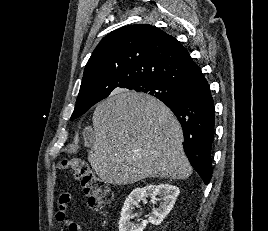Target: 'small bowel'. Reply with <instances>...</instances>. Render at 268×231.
I'll use <instances>...</instances> for the list:
<instances>
[{"label":"small bowel","instance_id":"c3829d8e","mask_svg":"<svg viewBox=\"0 0 268 231\" xmlns=\"http://www.w3.org/2000/svg\"><path fill=\"white\" fill-rule=\"evenodd\" d=\"M71 198V194L68 193H63L58 197L56 221L61 226L66 228L67 231H82L81 226L68 216L66 205L71 200Z\"/></svg>","mask_w":268,"mask_h":231}]
</instances>
